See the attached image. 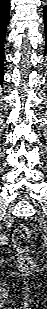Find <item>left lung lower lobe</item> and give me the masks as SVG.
Segmentation results:
<instances>
[{
    "mask_svg": "<svg viewBox=\"0 0 47 309\" xmlns=\"http://www.w3.org/2000/svg\"><path fill=\"white\" fill-rule=\"evenodd\" d=\"M44 24H45V32H46V51L47 53V5L44 7Z\"/></svg>",
    "mask_w": 47,
    "mask_h": 309,
    "instance_id": "0a47b994",
    "label": "left lung lower lobe"
}]
</instances>
